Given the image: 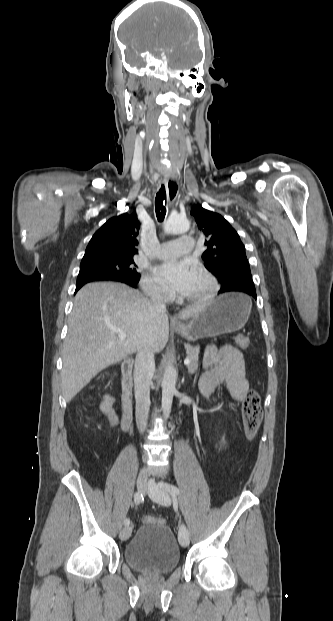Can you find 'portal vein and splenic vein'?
<instances>
[{
  "label": "portal vein and splenic vein",
  "instance_id": "18ae733b",
  "mask_svg": "<svg viewBox=\"0 0 333 621\" xmlns=\"http://www.w3.org/2000/svg\"><path fill=\"white\" fill-rule=\"evenodd\" d=\"M111 329L118 334V337H119L120 340H123V339L126 338V333L124 331H122L121 329L115 328V327H112ZM189 363H190V359L188 357L185 358L184 364L188 365Z\"/></svg>",
  "mask_w": 333,
  "mask_h": 621
}]
</instances>
